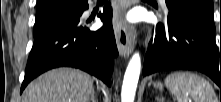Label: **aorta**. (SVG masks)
Instances as JSON below:
<instances>
[{
    "label": "aorta",
    "mask_w": 221,
    "mask_h": 102,
    "mask_svg": "<svg viewBox=\"0 0 221 102\" xmlns=\"http://www.w3.org/2000/svg\"><path fill=\"white\" fill-rule=\"evenodd\" d=\"M141 70V58L139 53H135L127 66L122 90L121 102H134L135 92Z\"/></svg>",
    "instance_id": "obj_1"
}]
</instances>
